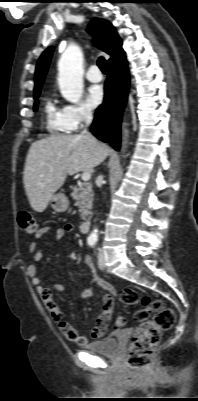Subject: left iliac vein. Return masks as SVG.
Returning a JSON list of instances; mask_svg holds the SVG:
<instances>
[{
  "label": "left iliac vein",
  "instance_id": "1",
  "mask_svg": "<svg viewBox=\"0 0 198 401\" xmlns=\"http://www.w3.org/2000/svg\"><path fill=\"white\" fill-rule=\"evenodd\" d=\"M98 266L101 270L105 269V259H104V255L102 252L99 253V257H98Z\"/></svg>",
  "mask_w": 198,
  "mask_h": 401
}]
</instances>
